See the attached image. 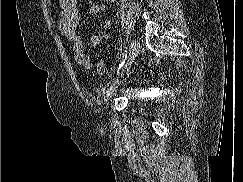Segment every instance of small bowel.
<instances>
[{
    "instance_id": "1",
    "label": "small bowel",
    "mask_w": 243,
    "mask_h": 182,
    "mask_svg": "<svg viewBox=\"0 0 243 182\" xmlns=\"http://www.w3.org/2000/svg\"><path fill=\"white\" fill-rule=\"evenodd\" d=\"M114 0H101L99 3L90 5V12L93 15L101 13L105 4L111 3ZM60 16L58 20V28L61 34L69 41L74 53V58L79 65L86 69L92 67V62L89 55L85 52L82 39L76 33L79 25V10L77 7V0H59ZM108 37L107 24L100 27L99 32L90 38V47L98 48L104 39Z\"/></svg>"
}]
</instances>
